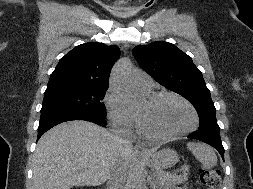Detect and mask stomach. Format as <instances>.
<instances>
[{
	"instance_id": "obj_1",
	"label": "stomach",
	"mask_w": 253,
	"mask_h": 189,
	"mask_svg": "<svg viewBox=\"0 0 253 189\" xmlns=\"http://www.w3.org/2000/svg\"><path fill=\"white\" fill-rule=\"evenodd\" d=\"M145 160L152 168L163 170L174 166L178 162L179 156L175 150L166 148L158 152H151Z\"/></svg>"
}]
</instances>
